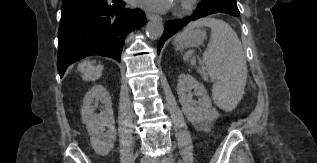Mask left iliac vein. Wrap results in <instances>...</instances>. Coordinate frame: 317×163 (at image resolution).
Segmentation results:
<instances>
[{
	"label": "left iliac vein",
	"instance_id": "left-iliac-vein-1",
	"mask_svg": "<svg viewBox=\"0 0 317 163\" xmlns=\"http://www.w3.org/2000/svg\"><path fill=\"white\" fill-rule=\"evenodd\" d=\"M152 163H160V161L158 159H154L152 160ZM169 163H173V160L169 159Z\"/></svg>",
	"mask_w": 317,
	"mask_h": 163
}]
</instances>
